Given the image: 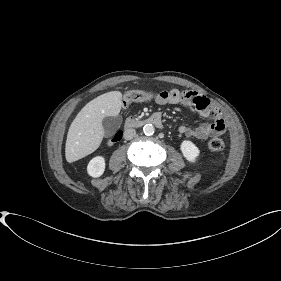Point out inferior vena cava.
Returning <instances> with one entry per match:
<instances>
[{"label": "inferior vena cava", "instance_id": "1", "mask_svg": "<svg viewBox=\"0 0 281 281\" xmlns=\"http://www.w3.org/2000/svg\"><path fill=\"white\" fill-rule=\"evenodd\" d=\"M123 135L126 140H130L136 135V130L132 128L126 129Z\"/></svg>", "mask_w": 281, "mask_h": 281}]
</instances>
